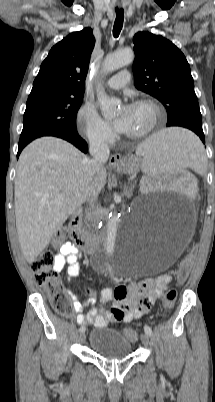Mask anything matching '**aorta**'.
I'll use <instances>...</instances> for the list:
<instances>
[{"label":"aorta","mask_w":215,"mask_h":402,"mask_svg":"<svg viewBox=\"0 0 215 402\" xmlns=\"http://www.w3.org/2000/svg\"><path fill=\"white\" fill-rule=\"evenodd\" d=\"M134 60V53L131 49H124L108 55L103 62V72L110 73L120 69ZM97 99L100 104L102 115L112 118L121 101L117 98H110L106 95L100 85L97 87ZM116 239V220L111 218L108 223L106 235L103 237V244L100 245L97 257L110 263L114 268H122V254L115 247Z\"/></svg>","instance_id":"1"}]
</instances>
